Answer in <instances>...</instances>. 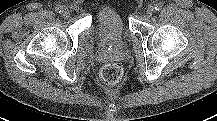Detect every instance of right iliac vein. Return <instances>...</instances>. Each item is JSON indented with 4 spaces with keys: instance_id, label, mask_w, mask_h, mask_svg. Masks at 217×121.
<instances>
[{
    "instance_id": "63e3f726",
    "label": "right iliac vein",
    "mask_w": 217,
    "mask_h": 121,
    "mask_svg": "<svg viewBox=\"0 0 217 121\" xmlns=\"http://www.w3.org/2000/svg\"><path fill=\"white\" fill-rule=\"evenodd\" d=\"M70 14H71V12L68 10V9H65L64 11H63V15L65 16V17H70Z\"/></svg>"
}]
</instances>
